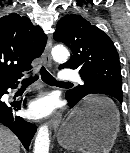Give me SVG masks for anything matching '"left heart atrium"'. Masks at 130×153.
<instances>
[{
	"label": "left heart atrium",
	"instance_id": "1",
	"mask_svg": "<svg viewBox=\"0 0 130 153\" xmlns=\"http://www.w3.org/2000/svg\"><path fill=\"white\" fill-rule=\"evenodd\" d=\"M56 103L50 96L44 95L33 100L29 105V114L33 118H43L51 114L55 109Z\"/></svg>",
	"mask_w": 130,
	"mask_h": 153
}]
</instances>
